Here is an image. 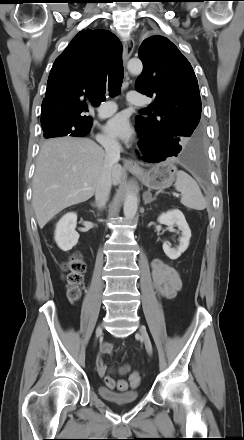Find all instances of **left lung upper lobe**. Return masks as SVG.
Here are the masks:
<instances>
[{
    "label": "left lung upper lobe",
    "instance_id": "1",
    "mask_svg": "<svg viewBox=\"0 0 244 440\" xmlns=\"http://www.w3.org/2000/svg\"><path fill=\"white\" fill-rule=\"evenodd\" d=\"M143 71L135 89L154 102L148 118L138 116L136 125L162 134L169 143L180 144L181 137H201L199 126L201 98L197 78L188 60L163 36L145 39L139 48Z\"/></svg>",
    "mask_w": 244,
    "mask_h": 440
}]
</instances>
